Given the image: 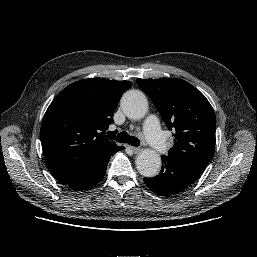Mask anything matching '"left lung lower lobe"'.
Masks as SVG:
<instances>
[{
    "label": "left lung lower lobe",
    "instance_id": "obj_1",
    "mask_svg": "<svg viewBox=\"0 0 257 257\" xmlns=\"http://www.w3.org/2000/svg\"><path fill=\"white\" fill-rule=\"evenodd\" d=\"M162 168L153 178H144L147 186L156 194L170 196L193 184L202 172L192 166L168 156H161Z\"/></svg>",
    "mask_w": 257,
    "mask_h": 257
}]
</instances>
